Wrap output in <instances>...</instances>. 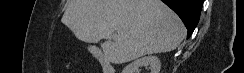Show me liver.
Returning <instances> with one entry per match:
<instances>
[{"label": "liver", "instance_id": "obj_1", "mask_svg": "<svg viewBox=\"0 0 244 73\" xmlns=\"http://www.w3.org/2000/svg\"><path fill=\"white\" fill-rule=\"evenodd\" d=\"M61 21L81 41L106 39L102 49L114 64L170 52L186 33L181 19L160 0H69Z\"/></svg>", "mask_w": 244, "mask_h": 73}]
</instances>
